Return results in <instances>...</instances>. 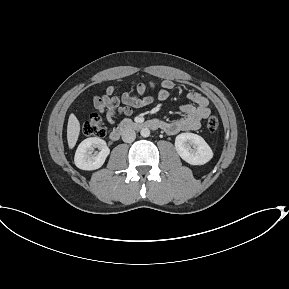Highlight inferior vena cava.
I'll use <instances>...</instances> for the list:
<instances>
[{
  "mask_svg": "<svg viewBox=\"0 0 289 289\" xmlns=\"http://www.w3.org/2000/svg\"><path fill=\"white\" fill-rule=\"evenodd\" d=\"M136 138V133L132 129H125L122 132V140L126 143H131L135 140Z\"/></svg>",
  "mask_w": 289,
  "mask_h": 289,
  "instance_id": "602c4592",
  "label": "inferior vena cava"
}]
</instances>
